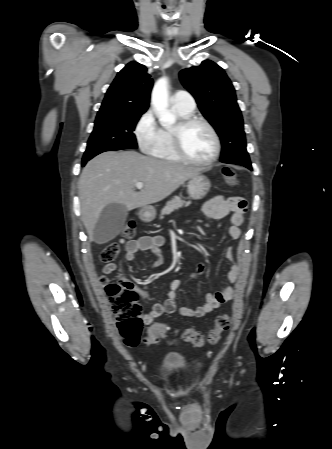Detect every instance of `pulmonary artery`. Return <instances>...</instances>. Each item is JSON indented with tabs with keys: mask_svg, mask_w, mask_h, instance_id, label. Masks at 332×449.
<instances>
[{
	"mask_svg": "<svg viewBox=\"0 0 332 449\" xmlns=\"http://www.w3.org/2000/svg\"><path fill=\"white\" fill-rule=\"evenodd\" d=\"M171 102L173 106L191 113L195 109V101L191 94L184 90L176 91L172 97Z\"/></svg>",
	"mask_w": 332,
	"mask_h": 449,
	"instance_id": "e3ab8cb5",
	"label": "pulmonary artery"
}]
</instances>
